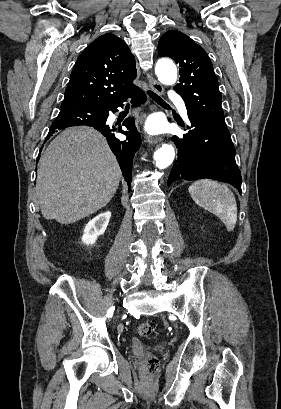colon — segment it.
I'll use <instances>...</instances> for the list:
<instances>
[{
    "label": "colon",
    "instance_id": "1",
    "mask_svg": "<svg viewBox=\"0 0 281 409\" xmlns=\"http://www.w3.org/2000/svg\"><path fill=\"white\" fill-rule=\"evenodd\" d=\"M137 333L140 336L147 337L151 334V325L149 323H141L137 326ZM158 360L153 355H147L142 361V370L150 372L156 369Z\"/></svg>",
    "mask_w": 281,
    "mask_h": 409
}]
</instances>
